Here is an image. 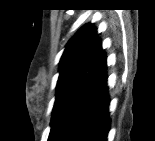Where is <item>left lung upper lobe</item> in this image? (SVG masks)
Returning a JSON list of instances; mask_svg holds the SVG:
<instances>
[{"label": "left lung upper lobe", "instance_id": "obj_1", "mask_svg": "<svg viewBox=\"0 0 155 141\" xmlns=\"http://www.w3.org/2000/svg\"><path fill=\"white\" fill-rule=\"evenodd\" d=\"M104 56L94 24L84 25L67 43L60 60L49 141H58L67 112L90 83Z\"/></svg>", "mask_w": 155, "mask_h": 141}]
</instances>
